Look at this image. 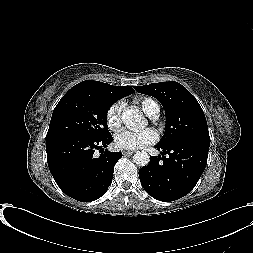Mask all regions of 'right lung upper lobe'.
I'll use <instances>...</instances> for the list:
<instances>
[{"instance_id": "cb5924a9", "label": "right lung upper lobe", "mask_w": 253, "mask_h": 253, "mask_svg": "<svg viewBox=\"0 0 253 253\" xmlns=\"http://www.w3.org/2000/svg\"><path fill=\"white\" fill-rule=\"evenodd\" d=\"M72 88L87 89L95 92L108 94L119 99L134 93L130 86H112L99 81L86 80L75 85Z\"/></svg>"}]
</instances>
